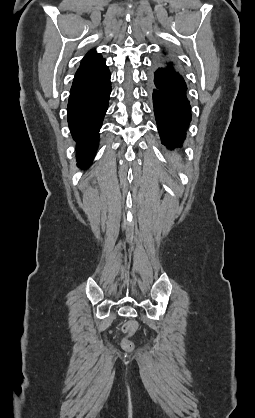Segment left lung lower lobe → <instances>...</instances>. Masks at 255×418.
Returning <instances> with one entry per match:
<instances>
[{
  "mask_svg": "<svg viewBox=\"0 0 255 418\" xmlns=\"http://www.w3.org/2000/svg\"><path fill=\"white\" fill-rule=\"evenodd\" d=\"M153 104L162 144L182 145L191 121L187 85L177 61L167 52L158 58L153 72Z\"/></svg>",
  "mask_w": 255,
  "mask_h": 418,
  "instance_id": "left-lung-lower-lobe-1",
  "label": "left lung lower lobe"
}]
</instances>
